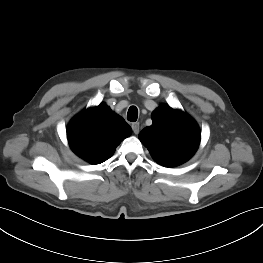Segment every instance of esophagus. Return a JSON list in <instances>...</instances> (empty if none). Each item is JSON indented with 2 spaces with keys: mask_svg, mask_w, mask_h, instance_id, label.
<instances>
[{
  "mask_svg": "<svg viewBox=\"0 0 263 263\" xmlns=\"http://www.w3.org/2000/svg\"><path fill=\"white\" fill-rule=\"evenodd\" d=\"M131 127H132V130H133L134 134H138L139 133L140 127H139V123L138 122L132 123Z\"/></svg>",
  "mask_w": 263,
  "mask_h": 263,
  "instance_id": "1",
  "label": "esophagus"
}]
</instances>
